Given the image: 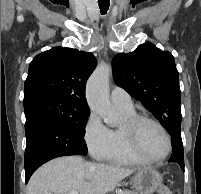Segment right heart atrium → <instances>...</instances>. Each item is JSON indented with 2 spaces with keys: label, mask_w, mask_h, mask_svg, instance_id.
Instances as JSON below:
<instances>
[{
  "label": "right heart atrium",
  "mask_w": 201,
  "mask_h": 194,
  "mask_svg": "<svg viewBox=\"0 0 201 194\" xmlns=\"http://www.w3.org/2000/svg\"><path fill=\"white\" fill-rule=\"evenodd\" d=\"M84 140L91 155L98 159L103 158L111 146L110 129L95 113H91L87 119Z\"/></svg>",
  "instance_id": "d8ad5b80"
}]
</instances>
